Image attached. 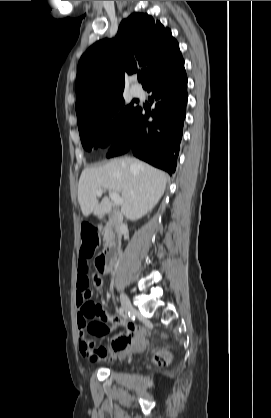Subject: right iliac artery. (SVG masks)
Here are the masks:
<instances>
[{"mask_svg": "<svg viewBox=\"0 0 271 418\" xmlns=\"http://www.w3.org/2000/svg\"><path fill=\"white\" fill-rule=\"evenodd\" d=\"M123 311H124V309H123L122 307H120V308L118 309V313H119V314H123Z\"/></svg>", "mask_w": 271, "mask_h": 418, "instance_id": "obj_1", "label": "right iliac artery"}]
</instances>
